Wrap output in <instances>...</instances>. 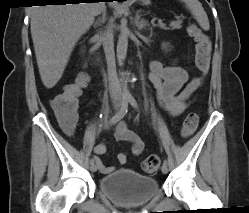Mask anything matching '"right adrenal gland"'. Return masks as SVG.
I'll return each instance as SVG.
<instances>
[{"label":"right adrenal gland","instance_id":"2a0ac1e0","mask_svg":"<svg viewBox=\"0 0 249 213\" xmlns=\"http://www.w3.org/2000/svg\"><path fill=\"white\" fill-rule=\"evenodd\" d=\"M106 21V10L102 13V17L99 18L95 23H94V26H98L100 25L101 23H105Z\"/></svg>","mask_w":249,"mask_h":213}]
</instances>
